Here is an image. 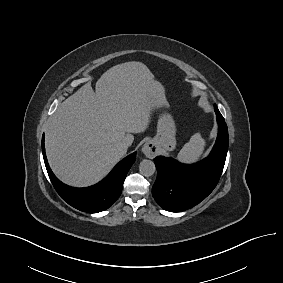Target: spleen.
<instances>
[{"label":"spleen","mask_w":283,"mask_h":283,"mask_svg":"<svg viewBox=\"0 0 283 283\" xmlns=\"http://www.w3.org/2000/svg\"><path fill=\"white\" fill-rule=\"evenodd\" d=\"M205 139L201 134L195 133L177 155V159L183 163H193L200 159L205 148Z\"/></svg>","instance_id":"obj_1"}]
</instances>
